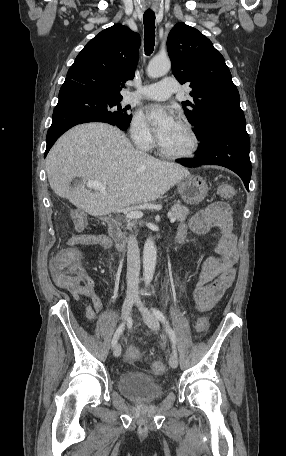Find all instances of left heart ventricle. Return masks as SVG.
<instances>
[{"label":"left heart ventricle","mask_w":286,"mask_h":456,"mask_svg":"<svg viewBox=\"0 0 286 456\" xmlns=\"http://www.w3.org/2000/svg\"><path fill=\"white\" fill-rule=\"evenodd\" d=\"M160 142L167 151L173 153L186 152L190 149L192 144L191 137L179 124L164 140Z\"/></svg>","instance_id":"left-heart-ventricle-1"}]
</instances>
